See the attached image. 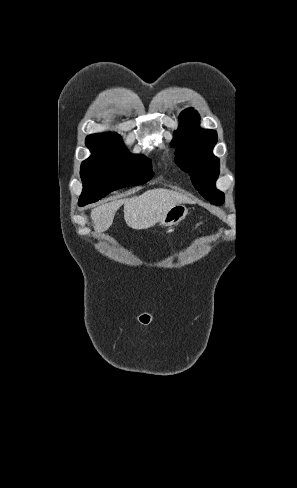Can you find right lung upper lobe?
<instances>
[{
    "mask_svg": "<svg viewBox=\"0 0 297 488\" xmlns=\"http://www.w3.org/2000/svg\"><path fill=\"white\" fill-rule=\"evenodd\" d=\"M113 138H120L121 137L116 133H99V134H92L87 137L86 145L90 150H97L100 147V144L105 139H113Z\"/></svg>",
    "mask_w": 297,
    "mask_h": 488,
    "instance_id": "obj_1",
    "label": "right lung upper lobe"
}]
</instances>
